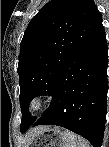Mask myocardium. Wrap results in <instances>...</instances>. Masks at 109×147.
Returning <instances> with one entry per match:
<instances>
[{
  "label": "myocardium",
  "instance_id": "obj_1",
  "mask_svg": "<svg viewBox=\"0 0 109 147\" xmlns=\"http://www.w3.org/2000/svg\"><path fill=\"white\" fill-rule=\"evenodd\" d=\"M48 97L45 94H36L28 101V109L31 112L40 111L47 103Z\"/></svg>",
  "mask_w": 109,
  "mask_h": 147
}]
</instances>
